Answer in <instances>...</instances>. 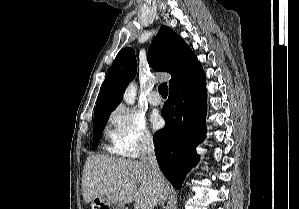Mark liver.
I'll return each mask as SVG.
<instances>
[{
    "label": "liver",
    "mask_w": 299,
    "mask_h": 209,
    "mask_svg": "<svg viewBox=\"0 0 299 209\" xmlns=\"http://www.w3.org/2000/svg\"><path fill=\"white\" fill-rule=\"evenodd\" d=\"M170 185L164 178L158 187L148 170L136 160L91 155L82 175V195L85 203L101 197L123 205L135 202V209H153Z\"/></svg>",
    "instance_id": "1"
}]
</instances>
